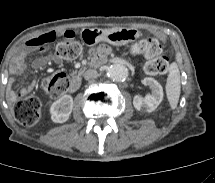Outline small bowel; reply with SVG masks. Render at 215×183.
<instances>
[{"mask_svg": "<svg viewBox=\"0 0 215 183\" xmlns=\"http://www.w3.org/2000/svg\"><path fill=\"white\" fill-rule=\"evenodd\" d=\"M69 31H49L42 35H39L37 37H33L27 42V48L25 51L21 52V54L16 59L14 65L12 66L10 72L13 76L21 75L27 68V62L25 60V53L27 50H35L36 44L41 42L44 44V47L50 43H52L59 35L65 34ZM42 49V48H41ZM52 63H59V59L55 56H43L40 58H37L34 61V66L36 67H45L47 65H50ZM15 82V78H12L10 81V84H13ZM34 87L33 83H30L28 86L23 87L19 90V92H15L14 90H9V99L15 100L19 96H23L30 92Z\"/></svg>", "mask_w": 215, "mask_h": 183, "instance_id": "c3829d8e", "label": "small bowel"}]
</instances>
